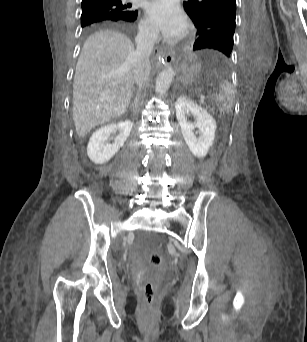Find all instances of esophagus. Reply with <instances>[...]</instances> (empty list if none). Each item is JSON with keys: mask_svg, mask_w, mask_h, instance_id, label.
<instances>
[{"mask_svg": "<svg viewBox=\"0 0 307 342\" xmlns=\"http://www.w3.org/2000/svg\"><path fill=\"white\" fill-rule=\"evenodd\" d=\"M158 51L164 60V64L168 65L175 59L174 51H163V50H154Z\"/></svg>", "mask_w": 307, "mask_h": 342, "instance_id": "esophagus-1", "label": "esophagus"}]
</instances>
